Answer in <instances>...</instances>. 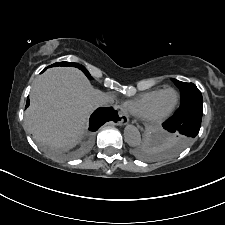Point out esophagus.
<instances>
[{
  "label": "esophagus",
  "instance_id": "obj_1",
  "mask_svg": "<svg viewBox=\"0 0 225 225\" xmlns=\"http://www.w3.org/2000/svg\"><path fill=\"white\" fill-rule=\"evenodd\" d=\"M120 112H121V119L118 122V125H125L129 122V117L124 109H122Z\"/></svg>",
  "mask_w": 225,
  "mask_h": 225
}]
</instances>
